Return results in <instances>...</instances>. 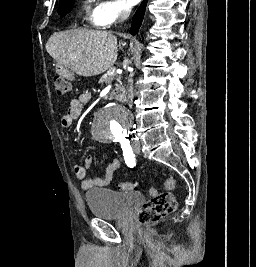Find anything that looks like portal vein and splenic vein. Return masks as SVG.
Segmentation results:
<instances>
[{
    "label": "portal vein and splenic vein",
    "instance_id": "obj_1",
    "mask_svg": "<svg viewBox=\"0 0 256 267\" xmlns=\"http://www.w3.org/2000/svg\"><path fill=\"white\" fill-rule=\"evenodd\" d=\"M116 68L115 67H111L109 72H107V76H112V74H116Z\"/></svg>",
    "mask_w": 256,
    "mask_h": 267
}]
</instances>
